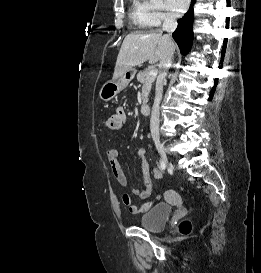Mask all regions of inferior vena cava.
Returning a JSON list of instances; mask_svg holds the SVG:
<instances>
[{"mask_svg": "<svg viewBox=\"0 0 261 273\" xmlns=\"http://www.w3.org/2000/svg\"><path fill=\"white\" fill-rule=\"evenodd\" d=\"M176 28H177L176 17L172 13H167L166 16L164 17L162 29L163 31L167 32L169 49L165 55V58L161 60L159 63L160 72L156 82L155 99L150 119V131L153 138L159 137L160 102L162 99L163 85L166 82L167 72L169 68L172 66L174 45L171 38V34L176 30Z\"/></svg>", "mask_w": 261, "mask_h": 273, "instance_id": "1", "label": "inferior vena cava"}]
</instances>
